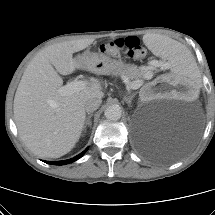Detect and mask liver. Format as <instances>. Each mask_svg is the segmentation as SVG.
<instances>
[{"label": "liver", "mask_w": 215, "mask_h": 215, "mask_svg": "<svg viewBox=\"0 0 215 215\" xmlns=\"http://www.w3.org/2000/svg\"><path fill=\"white\" fill-rule=\"evenodd\" d=\"M94 42V38L69 40L49 45L31 60L14 97V119L24 145L40 158H59L70 152L85 125V102L102 99L101 82L70 95H60L62 75L83 68L73 53Z\"/></svg>", "instance_id": "1"}]
</instances>
